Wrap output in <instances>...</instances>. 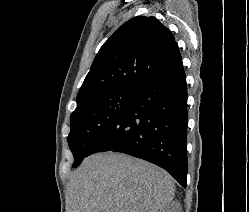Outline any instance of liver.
I'll list each match as a JSON object with an SVG mask.
<instances>
[{
	"label": "liver",
	"mask_w": 249,
	"mask_h": 212,
	"mask_svg": "<svg viewBox=\"0 0 249 212\" xmlns=\"http://www.w3.org/2000/svg\"><path fill=\"white\" fill-rule=\"evenodd\" d=\"M173 178L154 164L106 152L85 158L70 176L67 212L170 210Z\"/></svg>",
	"instance_id": "obj_1"
}]
</instances>
